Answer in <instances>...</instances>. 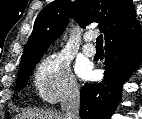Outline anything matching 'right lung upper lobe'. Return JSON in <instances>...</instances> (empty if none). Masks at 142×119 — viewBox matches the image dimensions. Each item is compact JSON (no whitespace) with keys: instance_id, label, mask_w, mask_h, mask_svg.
Returning <instances> with one entry per match:
<instances>
[{"instance_id":"obj_1","label":"right lung upper lobe","mask_w":142,"mask_h":119,"mask_svg":"<svg viewBox=\"0 0 142 119\" xmlns=\"http://www.w3.org/2000/svg\"><path fill=\"white\" fill-rule=\"evenodd\" d=\"M68 17H74L81 27L98 22L106 44L141 29L132 0H55L38 14L20 67L43 55L63 33Z\"/></svg>"}]
</instances>
